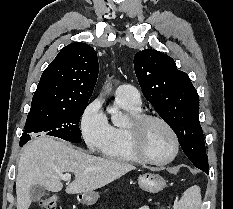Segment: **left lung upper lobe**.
Instances as JSON below:
<instances>
[{
  "instance_id": "left-lung-upper-lobe-1",
  "label": "left lung upper lobe",
  "mask_w": 233,
  "mask_h": 209,
  "mask_svg": "<svg viewBox=\"0 0 233 209\" xmlns=\"http://www.w3.org/2000/svg\"><path fill=\"white\" fill-rule=\"evenodd\" d=\"M134 68L146 99L174 130L185 155L197 168L208 167L199 96L189 76L170 56L152 49L136 53Z\"/></svg>"
}]
</instances>
